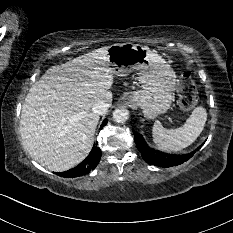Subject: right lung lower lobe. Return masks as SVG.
Returning a JSON list of instances; mask_svg holds the SVG:
<instances>
[{"mask_svg": "<svg viewBox=\"0 0 233 233\" xmlns=\"http://www.w3.org/2000/svg\"><path fill=\"white\" fill-rule=\"evenodd\" d=\"M106 124H107V119L103 121L102 126ZM100 158H101V150L97 146V144H94L89 155L79 165L68 171L56 173V174L66 178L79 177L88 174L98 165Z\"/></svg>", "mask_w": 233, "mask_h": 233, "instance_id": "obj_1", "label": "right lung lower lobe"}]
</instances>
